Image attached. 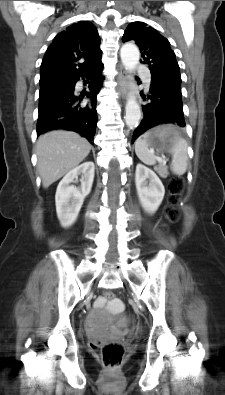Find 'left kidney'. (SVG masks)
Listing matches in <instances>:
<instances>
[{
  "instance_id": "5707ae66",
  "label": "left kidney",
  "mask_w": 225,
  "mask_h": 395,
  "mask_svg": "<svg viewBox=\"0 0 225 395\" xmlns=\"http://www.w3.org/2000/svg\"><path fill=\"white\" fill-rule=\"evenodd\" d=\"M135 183L143 209L148 213H155L165 194V189L161 180L154 171L143 164H137Z\"/></svg>"
}]
</instances>
